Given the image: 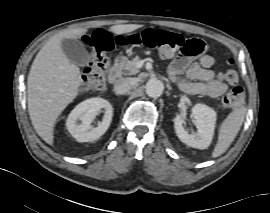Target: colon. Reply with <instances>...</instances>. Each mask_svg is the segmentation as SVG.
<instances>
[{"label":"colon","mask_w":270,"mask_h":213,"mask_svg":"<svg viewBox=\"0 0 270 213\" xmlns=\"http://www.w3.org/2000/svg\"><path fill=\"white\" fill-rule=\"evenodd\" d=\"M127 39L121 35L112 37L105 29H97L84 38V43L91 53L90 66L85 70L81 86L86 90H102L105 87V76L110 65L108 53L115 44L126 43ZM131 44H143L149 48H156L161 55L171 56L178 52L192 57L202 52L203 42L200 39L177 34L167 30L146 29L141 34L134 33L129 36ZM230 63L233 62L229 58ZM221 77L234 83L238 75L234 70H227ZM244 90L241 86L233 87L222 98V105L226 109H236L243 100Z\"/></svg>","instance_id":"colon-1"}]
</instances>
